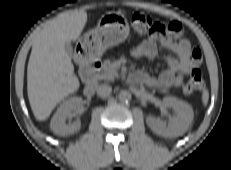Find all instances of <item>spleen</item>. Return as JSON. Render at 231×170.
<instances>
[{"instance_id":"spleen-1","label":"spleen","mask_w":231,"mask_h":170,"mask_svg":"<svg viewBox=\"0 0 231 170\" xmlns=\"http://www.w3.org/2000/svg\"><path fill=\"white\" fill-rule=\"evenodd\" d=\"M208 100H209V92H208V90L204 89L203 93H202V103L204 106L207 105Z\"/></svg>"}]
</instances>
